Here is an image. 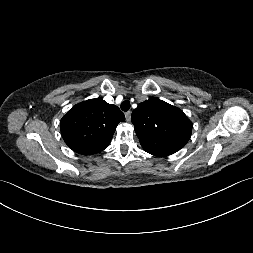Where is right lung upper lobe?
I'll return each instance as SVG.
<instances>
[{"label":"right lung upper lobe","instance_id":"right-lung-upper-lobe-1","mask_svg":"<svg viewBox=\"0 0 253 253\" xmlns=\"http://www.w3.org/2000/svg\"><path fill=\"white\" fill-rule=\"evenodd\" d=\"M125 116L120 109L100 98L73 106L60 121L62 137L73 151L92 155L110 143L119 122Z\"/></svg>","mask_w":253,"mask_h":253}]
</instances>
